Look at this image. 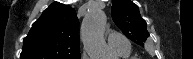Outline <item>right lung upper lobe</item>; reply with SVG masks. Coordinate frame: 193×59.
<instances>
[{
	"label": "right lung upper lobe",
	"mask_w": 193,
	"mask_h": 59,
	"mask_svg": "<svg viewBox=\"0 0 193 59\" xmlns=\"http://www.w3.org/2000/svg\"><path fill=\"white\" fill-rule=\"evenodd\" d=\"M20 59H80L75 10L69 5L52 3L24 38Z\"/></svg>",
	"instance_id": "cb5924a9"
}]
</instances>
